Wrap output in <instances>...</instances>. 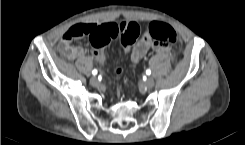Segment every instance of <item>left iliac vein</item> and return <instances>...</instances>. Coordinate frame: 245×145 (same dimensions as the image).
Returning <instances> with one entry per match:
<instances>
[{
  "mask_svg": "<svg viewBox=\"0 0 245 145\" xmlns=\"http://www.w3.org/2000/svg\"><path fill=\"white\" fill-rule=\"evenodd\" d=\"M144 85L147 87V88H151L154 86V80L152 78H148L145 82H144Z\"/></svg>",
  "mask_w": 245,
  "mask_h": 145,
  "instance_id": "4c4485c4",
  "label": "left iliac vein"
}]
</instances>
